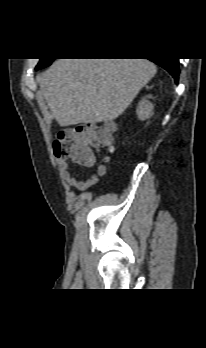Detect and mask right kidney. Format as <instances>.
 I'll list each match as a JSON object with an SVG mask.
<instances>
[{
	"label": "right kidney",
	"instance_id": "ca27d5eb",
	"mask_svg": "<svg viewBox=\"0 0 206 348\" xmlns=\"http://www.w3.org/2000/svg\"><path fill=\"white\" fill-rule=\"evenodd\" d=\"M151 98L152 96L148 95L142 98L141 101L139 102L136 109V113L140 120H146L152 116L153 104L149 101V99Z\"/></svg>",
	"mask_w": 206,
	"mask_h": 348
}]
</instances>
